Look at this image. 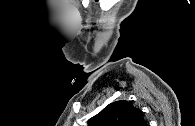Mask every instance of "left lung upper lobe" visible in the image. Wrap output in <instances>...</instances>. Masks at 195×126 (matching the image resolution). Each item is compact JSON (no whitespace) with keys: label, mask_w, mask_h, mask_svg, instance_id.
Instances as JSON below:
<instances>
[{"label":"left lung upper lobe","mask_w":195,"mask_h":126,"mask_svg":"<svg viewBox=\"0 0 195 126\" xmlns=\"http://www.w3.org/2000/svg\"><path fill=\"white\" fill-rule=\"evenodd\" d=\"M88 126H147L143 112L130 101L120 100L107 105L88 121Z\"/></svg>","instance_id":"1"}]
</instances>
